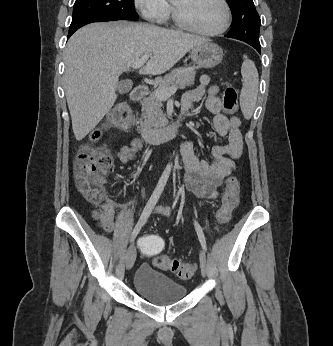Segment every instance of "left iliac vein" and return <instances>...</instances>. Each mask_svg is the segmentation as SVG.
I'll return each instance as SVG.
<instances>
[{
	"instance_id": "4c4485c4",
	"label": "left iliac vein",
	"mask_w": 333,
	"mask_h": 346,
	"mask_svg": "<svg viewBox=\"0 0 333 346\" xmlns=\"http://www.w3.org/2000/svg\"><path fill=\"white\" fill-rule=\"evenodd\" d=\"M199 261H200L201 272L203 276H205L207 273L208 265H207V259H206L205 253L202 250H200L199 252Z\"/></svg>"
}]
</instances>
